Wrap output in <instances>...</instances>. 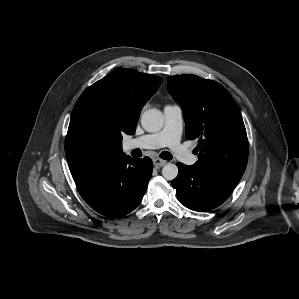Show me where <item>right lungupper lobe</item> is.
<instances>
[{"label": "right lung upper lobe", "instance_id": "cb5924a9", "mask_svg": "<svg viewBox=\"0 0 299 299\" xmlns=\"http://www.w3.org/2000/svg\"><path fill=\"white\" fill-rule=\"evenodd\" d=\"M161 83L160 77L131 69H119L88 87L76 104L90 100L104 104L115 113L122 134L132 135L142 107ZM120 154H123L121 143L115 147L111 156Z\"/></svg>", "mask_w": 299, "mask_h": 299}]
</instances>
